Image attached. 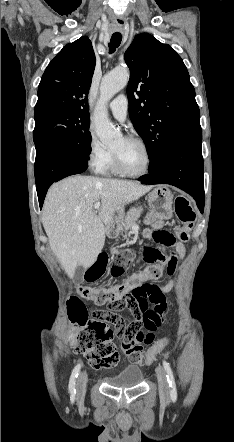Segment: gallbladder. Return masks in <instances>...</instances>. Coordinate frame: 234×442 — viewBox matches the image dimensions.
<instances>
[{"label": "gallbladder", "instance_id": "1", "mask_svg": "<svg viewBox=\"0 0 234 442\" xmlns=\"http://www.w3.org/2000/svg\"><path fill=\"white\" fill-rule=\"evenodd\" d=\"M83 274H84V267L77 266L75 273H74V280L77 283H80L83 281Z\"/></svg>", "mask_w": 234, "mask_h": 442}]
</instances>
